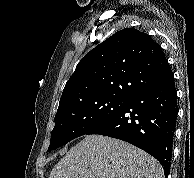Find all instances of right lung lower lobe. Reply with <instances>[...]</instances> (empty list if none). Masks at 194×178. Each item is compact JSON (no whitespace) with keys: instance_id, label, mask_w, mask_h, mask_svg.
Segmentation results:
<instances>
[{"instance_id":"98d812e1","label":"right lung lower lobe","mask_w":194,"mask_h":178,"mask_svg":"<svg viewBox=\"0 0 194 178\" xmlns=\"http://www.w3.org/2000/svg\"><path fill=\"white\" fill-rule=\"evenodd\" d=\"M178 111L173 75L164 83L133 94L116 112L86 134L121 139L143 149L161 163L167 178Z\"/></svg>"}]
</instances>
